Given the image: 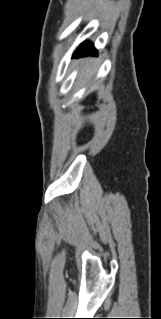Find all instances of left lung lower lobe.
Returning a JSON list of instances; mask_svg holds the SVG:
<instances>
[{
  "label": "left lung lower lobe",
  "mask_w": 161,
  "mask_h": 319,
  "mask_svg": "<svg viewBox=\"0 0 161 319\" xmlns=\"http://www.w3.org/2000/svg\"><path fill=\"white\" fill-rule=\"evenodd\" d=\"M96 55L97 51L91 43H82L74 52L73 57H79L83 55Z\"/></svg>",
  "instance_id": "1"
}]
</instances>
